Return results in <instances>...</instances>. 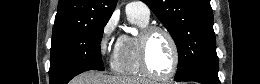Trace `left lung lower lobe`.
Wrapping results in <instances>:
<instances>
[{
    "label": "left lung lower lobe",
    "mask_w": 260,
    "mask_h": 84,
    "mask_svg": "<svg viewBox=\"0 0 260 84\" xmlns=\"http://www.w3.org/2000/svg\"><path fill=\"white\" fill-rule=\"evenodd\" d=\"M176 81H195L201 84H220L218 69H203L196 71L184 79Z\"/></svg>",
    "instance_id": "0a47b994"
}]
</instances>
